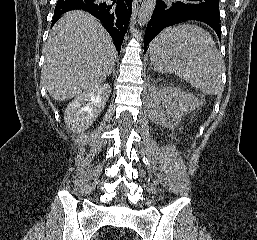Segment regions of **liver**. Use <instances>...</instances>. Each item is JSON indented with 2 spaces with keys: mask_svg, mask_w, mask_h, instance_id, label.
<instances>
[{
  "mask_svg": "<svg viewBox=\"0 0 257 240\" xmlns=\"http://www.w3.org/2000/svg\"><path fill=\"white\" fill-rule=\"evenodd\" d=\"M42 79L55 101L99 86L115 66L117 52L102 24L84 11L64 14L44 48Z\"/></svg>",
  "mask_w": 257,
  "mask_h": 240,
  "instance_id": "6515ba94",
  "label": "liver"
}]
</instances>
